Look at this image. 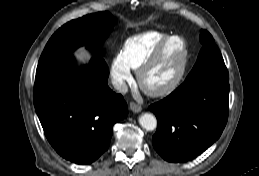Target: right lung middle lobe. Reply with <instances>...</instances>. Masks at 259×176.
I'll return each mask as SVG.
<instances>
[{"instance_id": "dd1d6c3e", "label": "right lung middle lobe", "mask_w": 259, "mask_h": 176, "mask_svg": "<svg viewBox=\"0 0 259 176\" xmlns=\"http://www.w3.org/2000/svg\"><path fill=\"white\" fill-rule=\"evenodd\" d=\"M115 19L109 12H99L72 20L59 28L46 44L39 63L70 54L76 48L94 45L96 49L110 33Z\"/></svg>"}]
</instances>
